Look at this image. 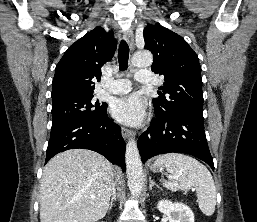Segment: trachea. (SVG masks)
I'll return each mask as SVG.
<instances>
[{
	"instance_id": "1",
	"label": "trachea",
	"mask_w": 257,
	"mask_h": 222,
	"mask_svg": "<svg viewBox=\"0 0 257 222\" xmlns=\"http://www.w3.org/2000/svg\"><path fill=\"white\" fill-rule=\"evenodd\" d=\"M129 46L126 41L122 40L118 50V62L120 71H125L128 68Z\"/></svg>"
}]
</instances>
